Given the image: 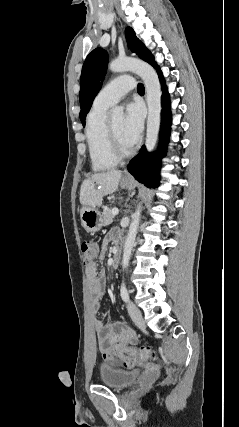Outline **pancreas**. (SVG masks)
I'll return each instance as SVG.
<instances>
[{
	"mask_svg": "<svg viewBox=\"0 0 239 427\" xmlns=\"http://www.w3.org/2000/svg\"><path fill=\"white\" fill-rule=\"evenodd\" d=\"M102 217H103L104 226L111 224L114 218V215L112 214V210L110 208H104Z\"/></svg>",
	"mask_w": 239,
	"mask_h": 427,
	"instance_id": "1",
	"label": "pancreas"
}]
</instances>
